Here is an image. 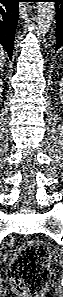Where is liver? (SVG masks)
<instances>
[{
  "instance_id": "obj_1",
  "label": "liver",
  "mask_w": 63,
  "mask_h": 297,
  "mask_svg": "<svg viewBox=\"0 0 63 297\" xmlns=\"http://www.w3.org/2000/svg\"><path fill=\"white\" fill-rule=\"evenodd\" d=\"M3 55H4V51H3V49L2 48H0V57H1V62H0V64H2L3 63Z\"/></svg>"
}]
</instances>
